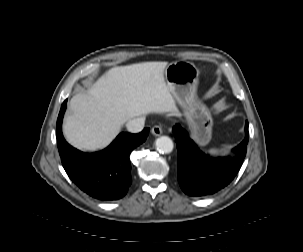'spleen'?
<instances>
[{"label": "spleen", "instance_id": "1", "mask_svg": "<svg viewBox=\"0 0 303 252\" xmlns=\"http://www.w3.org/2000/svg\"><path fill=\"white\" fill-rule=\"evenodd\" d=\"M208 152H209L210 154H212V155H217V154H219V149H217V148H212V149H210Z\"/></svg>", "mask_w": 303, "mask_h": 252}]
</instances>
